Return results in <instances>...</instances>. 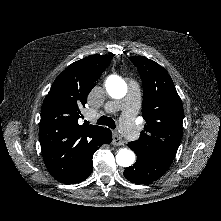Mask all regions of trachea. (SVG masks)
<instances>
[{
    "mask_svg": "<svg viewBox=\"0 0 221 221\" xmlns=\"http://www.w3.org/2000/svg\"><path fill=\"white\" fill-rule=\"evenodd\" d=\"M97 124L99 125H106L111 129L116 128L115 121L111 117L102 116L97 120Z\"/></svg>",
    "mask_w": 221,
    "mask_h": 221,
    "instance_id": "3493384b",
    "label": "trachea"
}]
</instances>
